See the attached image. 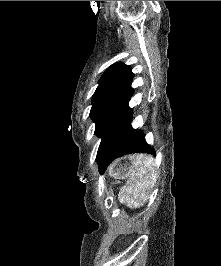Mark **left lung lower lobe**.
Listing matches in <instances>:
<instances>
[{"label": "left lung lower lobe", "mask_w": 221, "mask_h": 266, "mask_svg": "<svg viewBox=\"0 0 221 266\" xmlns=\"http://www.w3.org/2000/svg\"><path fill=\"white\" fill-rule=\"evenodd\" d=\"M129 100L130 98L116 113L102 137L97 152L100 172H103L113 160L126 154H155L154 149L146 143L143 132L131 127L132 109L128 106Z\"/></svg>", "instance_id": "1"}]
</instances>
